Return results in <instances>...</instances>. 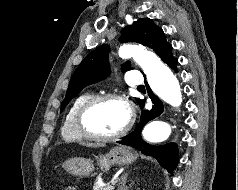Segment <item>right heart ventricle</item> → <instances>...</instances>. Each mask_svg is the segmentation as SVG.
I'll return each mask as SVG.
<instances>
[{"label":"right heart ventricle","instance_id":"right-heart-ventricle-1","mask_svg":"<svg viewBox=\"0 0 238 190\" xmlns=\"http://www.w3.org/2000/svg\"><path fill=\"white\" fill-rule=\"evenodd\" d=\"M92 96L90 92L83 93L71 104L61 128V136L66 142H79L85 139L76 127V116L80 107Z\"/></svg>","mask_w":238,"mask_h":190}]
</instances>
